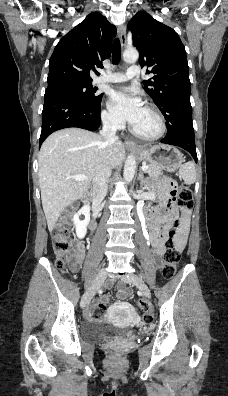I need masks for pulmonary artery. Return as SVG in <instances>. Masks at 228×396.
<instances>
[{
    "instance_id": "obj_1",
    "label": "pulmonary artery",
    "mask_w": 228,
    "mask_h": 396,
    "mask_svg": "<svg viewBox=\"0 0 228 396\" xmlns=\"http://www.w3.org/2000/svg\"><path fill=\"white\" fill-rule=\"evenodd\" d=\"M140 71L138 66H131L125 73H113L110 75H104L98 78L99 83H119L130 79H133L139 75Z\"/></svg>"
}]
</instances>
